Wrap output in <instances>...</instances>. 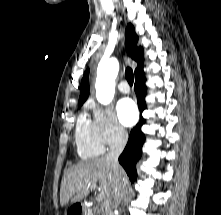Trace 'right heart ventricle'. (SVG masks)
I'll list each match as a JSON object with an SVG mask.
<instances>
[{
	"label": "right heart ventricle",
	"mask_w": 221,
	"mask_h": 215,
	"mask_svg": "<svg viewBox=\"0 0 221 215\" xmlns=\"http://www.w3.org/2000/svg\"><path fill=\"white\" fill-rule=\"evenodd\" d=\"M75 143L77 152L82 159L96 157L104 150L102 143L96 136L92 121L85 115H81L78 119Z\"/></svg>",
	"instance_id": "right-heart-ventricle-1"
}]
</instances>
